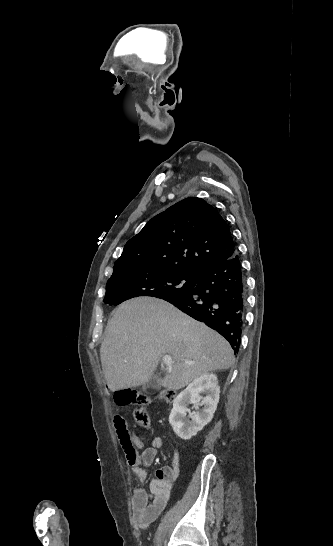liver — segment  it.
Segmentation results:
<instances>
[{
  "instance_id": "6515ba94",
  "label": "liver",
  "mask_w": 333,
  "mask_h": 546,
  "mask_svg": "<svg viewBox=\"0 0 333 546\" xmlns=\"http://www.w3.org/2000/svg\"><path fill=\"white\" fill-rule=\"evenodd\" d=\"M164 355L172 357L171 371L162 381L169 389L229 369L234 362L233 350L221 335L171 304L150 297L120 304L100 348L107 387L115 392L144 385Z\"/></svg>"
}]
</instances>
